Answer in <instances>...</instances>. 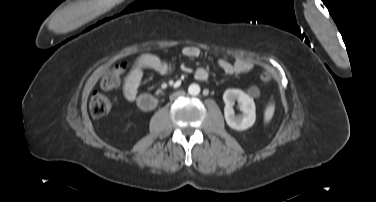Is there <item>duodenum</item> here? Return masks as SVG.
<instances>
[{
  "label": "duodenum",
  "mask_w": 376,
  "mask_h": 202,
  "mask_svg": "<svg viewBox=\"0 0 376 202\" xmlns=\"http://www.w3.org/2000/svg\"><path fill=\"white\" fill-rule=\"evenodd\" d=\"M137 105L144 111H150L155 108L156 100L150 95H142L138 98Z\"/></svg>",
  "instance_id": "1"
}]
</instances>
